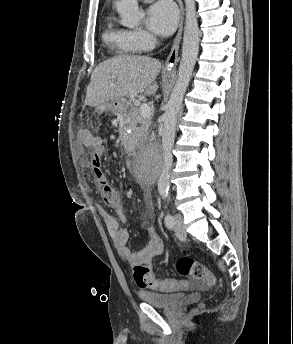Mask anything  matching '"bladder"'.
Instances as JSON below:
<instances>
[{
    "label": "bladder",
    "instance_id": "1",
    "mask_svg": "<svg viewBox=\"0 0 293 344\" xmlns=\"http://www.w3.org/2000/svg\"><path fill=\"white\" fill-rule=\"evenodd\" d=\"M143 301L153 307L171 310L187 300L180 293L146 292L142 296Z\"/></svg>",
    "mask_w": 293,
    "mask_h": 344
}]
</instances>
